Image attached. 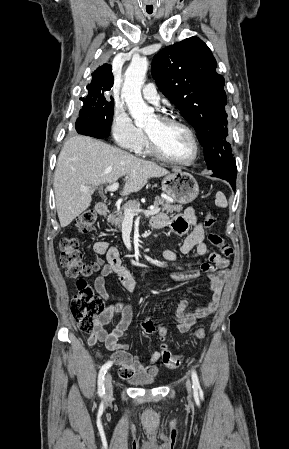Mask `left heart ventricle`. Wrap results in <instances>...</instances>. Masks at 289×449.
<instances>
[{
	"instance_id": "left-heart-ventricle-1",
	"label": "left heart ventricle",
	"mask_w": 289,
	"mask_h": 449,
	"mask_svg": "<svg viewBox=\"0 0 289 449\" xmlns=\"http://www.w3.org/2000/svg\"><path fill=\"white\" fill-rule=\"evenodd\" d=\"M157 142L160 149L169 157L177 160H189L194 154V146L188 133L173 124H164L158 118L153 119L146 127Z\"/></svg>"
}]
</instances>
